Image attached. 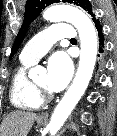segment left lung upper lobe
I'll return each mask as SVG.
<instances>
[{"label": "left lung upper lobe", "instance_id": "1", "mask_svg": "<svg viewBox=\"0 0 117 136\" xmlns=\"http://www.w3.org/2000/svg\"><path fill=\"white\" fill-rule=\"evenodd\" d=\"M55 2H60V1L58 0H27L25 5L24 21L16 37V40L14 42L10 57H12L15 54L20 44L22 43L23 39L25 38L29 24L42 12V10L45 7ZM62 2H68V3H73L75 5H78L82 7L84 10H86L91 16L95 14L93 12L91 4L87 0H62Z\"/></svg>", "mask_w": 117, "mask_h": 136}]
</instances>
